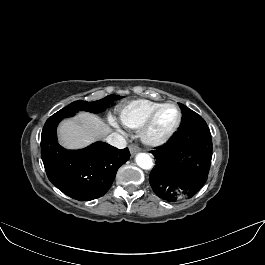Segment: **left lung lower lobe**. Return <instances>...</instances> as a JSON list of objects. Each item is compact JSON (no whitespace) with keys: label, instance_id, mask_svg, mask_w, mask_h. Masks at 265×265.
Segmentation results:
<instances>
[{"label":"left lung lower lobe","instance_id":"left-lung-lower-lobe-1","mask_svg":"<svg viewBox=\"0 0 265 265\" xmlns=\"http://www.w3.org/2000/svg\"><path fill=\"white\" fill-rule=\"evenodd\" d=\"M155 166L149 175L155 194L168 202L193 197L205 184L211 159L212 138L205 121L176 131L151 151Z\"/></svg>","mask_w":265,"mask_h":265}]
</instances>
